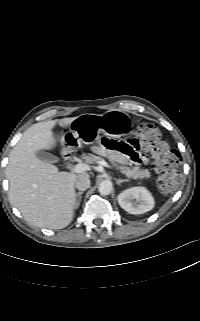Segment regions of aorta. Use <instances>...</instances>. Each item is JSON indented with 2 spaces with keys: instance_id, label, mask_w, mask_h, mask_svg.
<instances>
[{
  "instance_id": "762f6f07",
  "label": "aorta",
  "mask_w": 200,
  "mask_h": 321,
  "mask_svg": "<svg viewBox=\"0 0 200 321\" xmlns=\"http://www.w3.org/2000/svg\"><path fill=\"white\" fill-rule=\"evenodd\" d=\"M113 186L110 181H103L100 183L98 190L102 195H109L112 192Z\"/></svg>"
}]
</instances>
